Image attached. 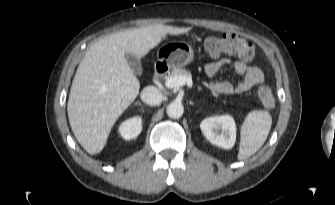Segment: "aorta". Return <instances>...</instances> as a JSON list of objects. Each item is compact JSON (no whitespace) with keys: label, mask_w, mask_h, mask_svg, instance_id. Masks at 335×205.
I'll return each mask as SVG.
<instances>
[{"label":"aorta","mask_w":335,"mask_h":205,"mask_svg":"<svg viewBox=\"0 0 335 205\" xmlns=\"http://www.w3.org/2000/svg\"><path fill=\"white\" fill-rule=\"evenodd\" d=\"M166 112L170 118L177 119L183 115L184 107L182 103L174 101L167 106Z\"/></svg>","instance_id":"aorta-1"}]
</instances>
